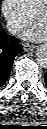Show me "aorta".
Masks as SVG:
<instances>
[{
    "label": "aorta",
    "mask_w": 47,
    "mask_h": 129,
    "mask_svg": "<svg viewBox=\"0 0 47 129\" xmlns=\"http://www.w3.org/2000/svg\"><path fill=\"white\" fill-rule=\"evenodd\" d=\"M36 60L38 64L42 67L47 65V47L45 45H40L36 50Z\"/></svg>",
    "instance_id": "762f6f07"
}]
</instances>
